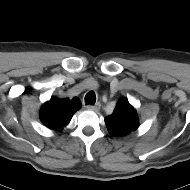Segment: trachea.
<instances>
[{
  "instance_id": "trachea-1",
  "label": "trachea",
  "mask_w": 190,
  "mask_h": 190,
  "mask_svg": "<svg viewBox=\"0 0 190 190\" xmlns=\"http://www.w3.org/2000/svg\"><path fill=\"white\" fill-rule=\"evenodd\" d=\"M96 102V95L93 91L88 92L85 95V105H94Z\"/></svg>"
}]
</instances>
